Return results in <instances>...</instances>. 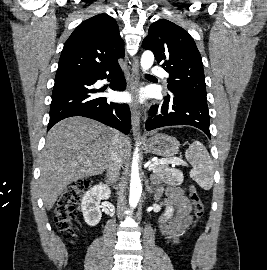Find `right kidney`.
<instances>
[{"label":"right kidney","mask_w":267,"mask_h":270,"mask_svg":"<svg viewBox=\"0 0 267 270\" xmlns=\"http://www.w3.org/2000/svg\"><path fill=\"white\" fill-rule=\"evenodd\" d=\"M109 197L110 188L103 183L93 186L84 194L81 211L89 226H96L100 222L102 217L100 202L101 200H107Z\"/></svg>","instance_id":"obj_1"}]
</instances>
